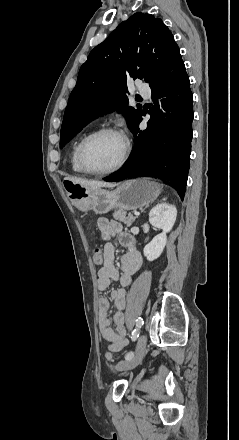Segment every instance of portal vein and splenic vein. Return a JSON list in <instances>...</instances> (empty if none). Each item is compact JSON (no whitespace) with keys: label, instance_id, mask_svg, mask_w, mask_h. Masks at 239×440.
Returning a JSON list of instances; mask_svg holds the SVG:
<instances>
[{"label":"portal vein and splenic vein","instance_id":"18ae733b","mask_svg":"<svg viewBox=\"0 0 239 440\" xmlns=\"http://www.w3.org/2000/svg\"><path fill=\"white\" fill-rule=\"evenodd\" d=\"M134 214H135V216H139L140 213L139 212H134Z\"/></svg>","mask_w":239,"mask_h":440}]
</instances>
